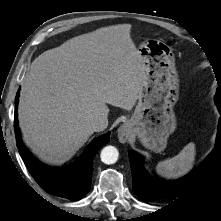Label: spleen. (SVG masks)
<instances>
[{
  "mask_svg": "<svg viewBox=\"0 0 221 221\" xmlns=\"http://www.w3.org/2000/svg\"><path fill=\"white\" fill-rule=\"evenodd\" d=\"M196 156L195 144L188 143L178 155L161 161L157 164L156 171L166 178H178L188 173L194 164Z\"/></svg>",
  "mask_w": 221,
  "mask_h": 221,
  "instance_id": "obj_1",
  "label": "spleen"
}]
</instances>
